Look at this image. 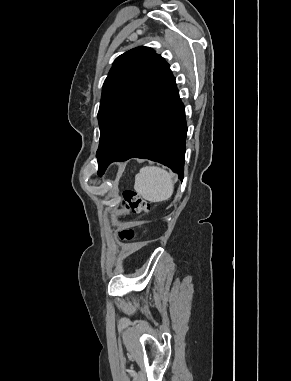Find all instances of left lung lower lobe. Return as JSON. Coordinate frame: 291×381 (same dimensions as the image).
Wrapping results in <instances>:
<instances>
[{
	"label": "left lung lower lobe",
	"mask_w": 291,
	"mask_h": 381,
	"mask_svg": "<svg viewBox=\"0 0 291 381\" xmlns=\"http://www.w3.org/2000/svg\"><path fill=\"white\" fill-rule=\"evenodd\" d=\"M187 126L175 78L145 105L131 127L99 164L102 175L109 164L132 157L164 164L183 179Z\"/></svg>",
	"instance_id": "left-lung-lower-lobe-1"
}]
</instances>
